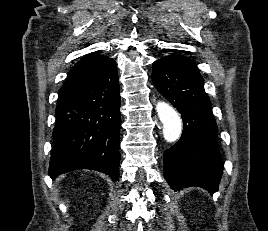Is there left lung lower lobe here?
<instances>
[{
    "label": "left lung lower lobe",
    "instance_id": "obj_1",
    "mask_svg": "<svg viewBox=\"0 0 268 231\" xmlns=\"http://www.w3.org/2000/svg\"><path fill=\"white\" fill-rule=\"evenodd\" d=\"M152 80L181 113L183 132L164 152V176L174 190L199 186L218 190L223 161L218 150V128L198 69L164 57L153 63Z\"/></svg>",
    "mask_w": 268,
    "mask_h": 231
}]
</instances>
